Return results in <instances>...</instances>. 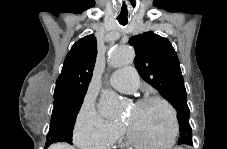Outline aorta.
I'll return each instance as SVG.
<instances>
[{
	"instance_id": "1",
	"label": "aorta",
	"mask_w": 227,
	"mask_h": 149,
	"mask_svg": "<svg viewBox=\"0 0 227 149\" xmlns=\"http://www.w3.org/2000/svg\"><path fill=\"white\" fill-rule=\"evenodd\" d=\"M134 51L128 46L116 45L111 53L110 64L118 68L129 65L134 60ZM98 109L105 117H116L121 114V101L112 90H104L100 94Z\"/></svg>"
}]
</instances>
